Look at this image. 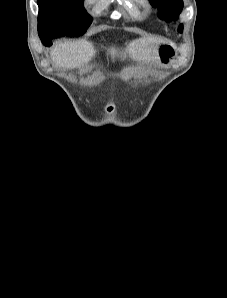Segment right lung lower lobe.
I'll return each instance as SVG.
<instances>
[{"label":"right lung lower lobe","instance_id":"obj_1","mask_svg":"<svg viewBox=\"0 0 227 298\" xmlns=\"http://www.w3.org/2000/svg\"><path fill=\"white\" fill-rule=\"evenodd\" d=\"M55 37H56V36H55L54 34L48 32V33H46V34L40 36V39H41L43 45H45V46H50V45L52 44V43H51V40H52L53 38H55Z\"/></svg>","mask_w":227,"mask_h":298}]
</instances>
